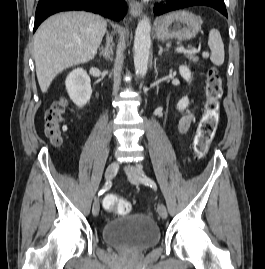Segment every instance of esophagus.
Wrapping results in <instances>:
<instances>
[{"label":"esophagus","mask_w":265,"mask_h":269,"mask_svg":"<svg viewBox=\"0 0 265 269\" xmlns=\"http://www.w3.org/2000/svg\"><path fill=\"white\" fill-rule=\"evenodd\" d=\"M130 13L133 17H140L143 13L142 4L136 0H132L130 2Z\"/></svg>","instance_id":"34e87169"}]
</instances>
